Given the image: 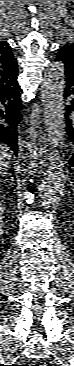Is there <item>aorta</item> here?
<instances>
[{
	"label": "aorta",
	"mask_w": 74,
	"mask_h": 366,
	"mask_svg": "<svg viewBox=\"0 0 74 366\" xmlns=\"http://www.w3.org/2000/svg\"><path fill=\"white\" fill-rule=\"evenodd\" d=\"M64 71L65 67L61 61L53 62L45 73L41 87L44 122L48 137L55 148L48 155V163L38 186L43 206H50L56 202L64 187L65 162L56 149L61 146L65 136Z\"/></svg>",
	"instance_id": "1"
}]
</instances>
